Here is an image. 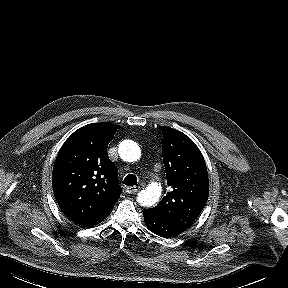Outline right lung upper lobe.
<instances>
[{"label": "right lung upper lobe", "mask_w": 288, "mask_h": 288, "mask_svg": "<svg viewBox=\"0 0 288 288\" xmlns=\"http://www.w3.org/2000/svg\"><path fill=\"white\" fill-rule=\"evenodd\" d=\"M119 126L103 122L75 131L54 163L52 185L62 212L87 226L108 216L121 194L118 170L107 155Z\"/></svg>", "instance_id": "1"}]
</instances>
